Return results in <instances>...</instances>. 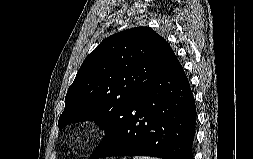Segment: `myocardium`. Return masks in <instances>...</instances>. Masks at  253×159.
<instances>
[{"instance_id": "f54148a6", "label": "myocardium", "mask_w": 253, "mask_h": 159, "mask_svg": "<svg viewBox=\"0 0 253 159\" xmlns=\"http://www.w3.org/2000/svg\"><path fill=\"white\" fill-rule=\"evenodd\" d=\"M99 132V127L93 123L82 125L75 136V143L79 147H84L91 143Z\"/></svg>"}]
</instances>
